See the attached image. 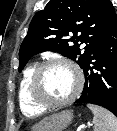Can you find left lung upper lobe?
<instances>
[{"label": "left lung upper lobe", "instance_id": "5c2ea615", "mask_svg": "<svg viewBox=\"0 0 117 131\" xmlns=\"http://www.w3.org/2000/svg\"><path fill=\"white\" fill-rule=\"evenodd\" d=\"M112 8L109 0H50L30 23L19 50L18 70L45 51L58 52L84 69L102 39Z\"/></svg>", "mask_w": 117, "mask_h": 131}]
</instances>
